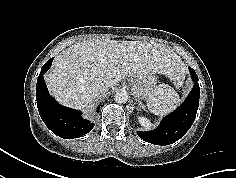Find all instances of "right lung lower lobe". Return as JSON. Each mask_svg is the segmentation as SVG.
<instances>
[{
    "label": "right lung lower lobe",
    "mask_w": 236,
    "mask_h": 178,
    "mask_svg": "<svg viewBox=\"0 0 236 178\" xmlns=\"http://www.w3.org/2000/svg\"><path fill=\"white\" fill-rule=\"evenodd\" d=\"M52 61L53 58L43 65L37 79L36 98L39 114L45 125L59 137H81L90 132L94 124L83 119L78 110L60 105L49 95L43 74L50 68Z\"/></svg>",
    "instance_id": "98d812e1"
}]
</instances>
